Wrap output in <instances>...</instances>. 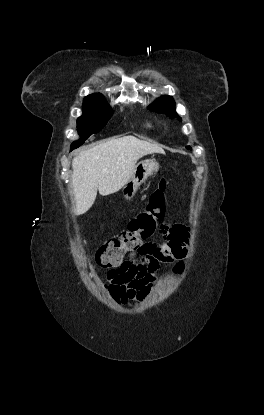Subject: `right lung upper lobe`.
I'll list each match as a JSON object with an SVG mask.
<instances>
[{
	"mask_svg": "<svg viewBox=\"0 0 264 415\" xmlns=\"http://www.w3.org/2000/svg\"><path fill=\"white\" fill-rule=\"evenodd\" d=\"M90 99H104V97L101 94L95 93V94L88 95L84 98V100H90Z\"/></svg>",
	"mask_w": 264,
	"mask_h": 415,
	"instance_id": "cb5924a9",
	"label": "right lung upper lobe"
}]
</instances>
